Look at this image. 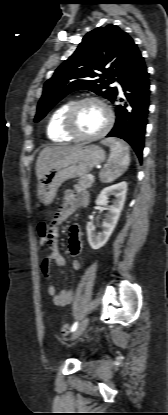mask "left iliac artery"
I'll return each instance as SVG.
<instances>
[{
    "label": "left iliac artery",
    "instance_id": "left-iliac-artery-1",
    "mask_svg": "<svg viewBox=\"0 0 168 415\" xmlns=\"http://www.w3.org/2000/svg\"><path fill=\"white\" fill-rule=\"evenodd\" d=\"M78 327V322H75L71 327V332H74Z\"/></svg>",
    "mask_w": 168,
    "mask_h": 415
}]
</instances>
